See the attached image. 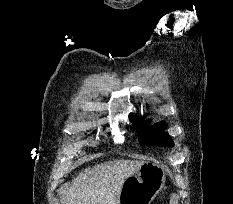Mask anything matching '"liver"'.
I'll return each mask as SVG.
<instances>
[{
  "mask_svg": "<svg viewBox=\"0 0 233 204\" xmlns=\"http://www.w3.org/2000/svg\"><path fill=\"white\" fill-rule=\"evenodd\" d=\"M143 161L116 160L82 170L72 181L64 204H118L124 181Z\"/></svg>",
  "mask_w": 233,
  "mask_h": 204,
  "instance_id": "6515ba94",
  "label": "liver"
}]
</instances>
